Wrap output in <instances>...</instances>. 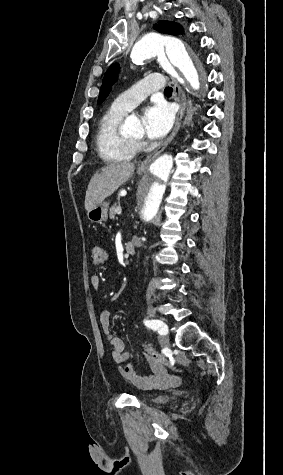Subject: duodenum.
Wrapping results in <instances>:
<instances>
[{"label":"duodenum","mask_w":283,"mask_h":475,"mask_svg":"<svg viewBox=\"0 0 283 475\" xmlns=\"http://www.w3.org/2000/svg\"><path fill=\"white\" fill-rule=\"evenodd\" d=\"M135 249H136V244L133 240H130L126 243L125 250L128 255L134 254Z\"/></svg>","instance_id":"obj_1"}]
</instances>
